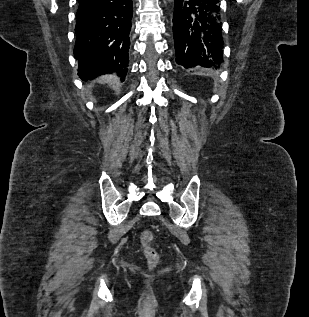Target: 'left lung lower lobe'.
Listing matches in <instances>:
<instances>
[{
  "label": "left lung lower lobe",
  "mask_w": 309,
  "mask_h": 317,
  "mask_svg": "<svg viewBox=\"0 0 309 317\" xmlns=\"http://www.w3.org/2000/svg\"><path fill=\"white\" fill-rule=\"evenodd\" d=\"M173 34L178 65L219 67L224 47L220 0H174Z\"/></svg>",
  "instance_id": "1"
}]
</instances>
